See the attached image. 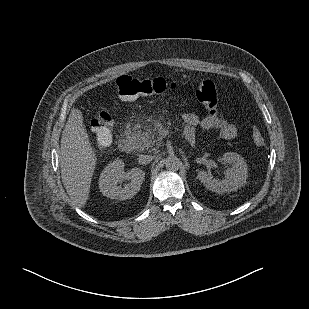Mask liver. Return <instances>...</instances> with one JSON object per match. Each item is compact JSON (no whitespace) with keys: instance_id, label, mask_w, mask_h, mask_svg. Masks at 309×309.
<instances>
[{"instance_id":"6515ba94","label":"liver","mask_w":309,"mask_h":309,"mask_svg":"<svg viewBox=\"0 0 309 309\" xmlns=\"http://www.w3.org/2000/svg\"><path fill=\"white\" fill-rule=\"evenodd\" d=\"M95 165L96 157L84 128L82 112L73 108L62 132L60 168L63 185L79 207L89 198Z\"/></svg>"}]
</instances>
